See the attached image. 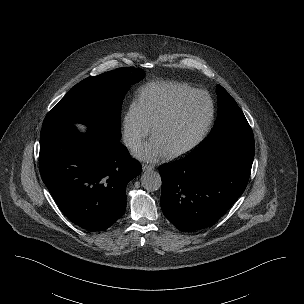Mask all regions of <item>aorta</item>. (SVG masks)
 Here are the masks:
<instances>
[{"mask_svg": "<svg viewBox=\"0 0 304 304\" xmlns=\"http://www.w3.org/2000/svg\"><path fill=\"white\" fill-rule=\"evenodd\" d=\"M141 184L144 189L154 191L161 187V176L154 170L145 171L141 176Z\"/></svg>", "mask_w": 304, "mask_h": 304, "instance_id": "762f6f07", "label": "aorta"}]
</instances>
